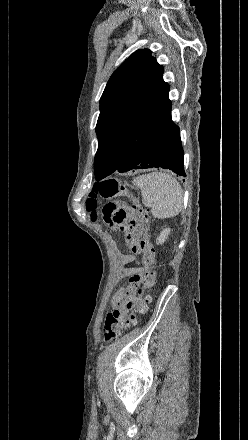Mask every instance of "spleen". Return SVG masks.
Segmentation results:
<instances>
[{"label": "spleen", "mask_w": 248, "mask_h": 440, "mask_svg": "<svg viewBox=\"0 0 248 440\" xmlns=\"http://www.w3.org/2000/svg\"><path fill=\"white\" fill-rule=\"evenodd\" d=\"M133 184L141 189L142 202L157 219L174 217L183 208L184 194L179 182L167 173L153 172L136 177Z\"/></svg>", "instance_id": "1"}]
</instances>
